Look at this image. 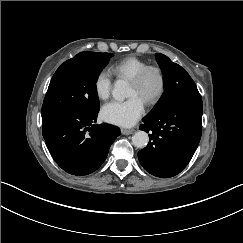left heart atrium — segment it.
<instances>
[{"instance_id": "1", "label": "left heart atrium", "mask_w": 243, "mask_h": 243, "mask_svg": "<svg viewBox=\"0 0 243 243\" xmlns=\"http://www.w3.org/2000/svg\"><path fill=\"white\" fill-rule=\"evenodd\" d=\"M145 112V102L138 96H130L126 100H111L101 108L104 121L119 126L134 124Z\"/></svg>"}]
</instances>
